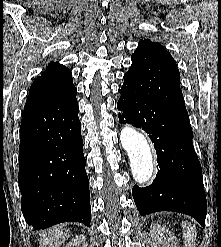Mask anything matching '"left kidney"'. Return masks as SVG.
<instances>
[{
    "label": "left kidney",
    "mask_w": 221,
    "mask_h": 247,
    "mask_svg": "<svg viewBox=\"0 0 221 247\" xmlns=\"http://www.w3.org/2000/svg\"><path fill=\"white\" fill-rule=\"evenodd\" d=\"M152 247H180L179 241L166 227L152 224L150 229Z\"/></svg>",
    "instance_id": "left-kidney-1"
}]
</instances>
